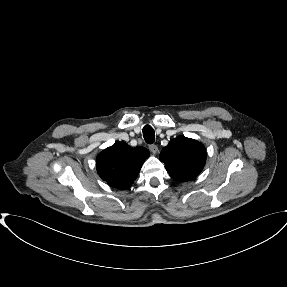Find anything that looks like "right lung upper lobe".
Segmentation results:
<instances>
[{
	"label": "right lung upper lobe",
	"mask_w": 287,
	"mask_h": 287,
	"mask_svg": "<svg viewBox=\"0 0 287 287\" xmlns=\"http://www.w3.org/2000/svg\"><path fill=\"white\" fill-rule=\"evenodd\" d=\"M148 156L146 148H132L125 142H116L98 154L97 172L110 186L125 190L132 185Z\"/></svg>",
	"instance_id": "right-lung-upper-lobe-1"
}]
</instances>
